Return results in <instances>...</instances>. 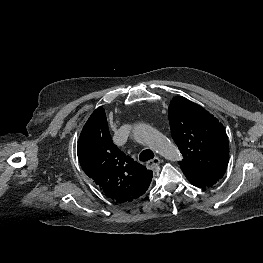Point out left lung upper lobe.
<instances>
[{"label": "left lung upper lobe", "instance_id": "left-lung-upper-lobe-1", "mask_svg": "<svg viewBox=\"0 0 263 263\" xmlns=\"http://www.w3.org/2000/svg\"><path fill=\"white\" fill-rule=\"evenodd\" d=\"M173 140L183 155L182 171L224 174L229 160V145L223 125L201 106L182 96L169 105Z\"/></svg>", "mask_w": 263, "mask_h": 263}]
</instances>
